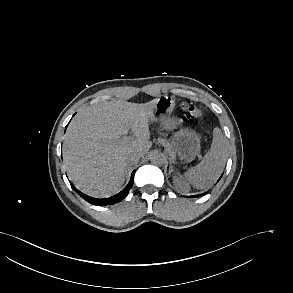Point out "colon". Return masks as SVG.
Segmentation results:
<instances>
[{"label":"colon","instance_id":"colon-1","mask_svg":"<svg viewBox=\"0 0 293 293\" xmlns=\"http://www.w3.org/2000/svg\"><path fill=\"white\" fill-rule=\"evenodd\" d=\"M182 108L184 110V120L187 121L193 117L200 118L201 112L198 110V108L190 103H183Z\"/></svg>","mask_w":293,"mask_h":293}]
</instances>
